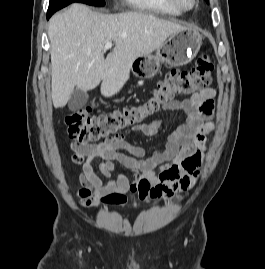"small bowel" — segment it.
<instances>
[{
	"instance_id": "small-bowel-1",
	"label": "small bowel",
	"mask_w": 265,
	"mask_h": 269,
	"mask_svg": "<svg viewBox=\"0 0 265 269\" xmlns=\"http://www.w3.org/2000/svg\"><path fill=\"white\" fill-rule=\"evenodd\" d=\"M215 96L214 88H206L190 98L169 102L165 109L180 115L183 122L161 148L149 155L144 148L130 144L126 134L140 132L147 137L155 136L163 127V115L99 143L72 141L69 145L72 160L82 165L81 187L76 193L81 205H123L127 202V192L145 200L151 196L148 188L158 186L164 188L167 196L187 192L197 181L206 151V136L213 130ZM95 158L103 159L99 171L106 181L95 172L92 165ZM116 163L132 172L133 181L117 172Z\"/></svg>"
}]
</instances>
